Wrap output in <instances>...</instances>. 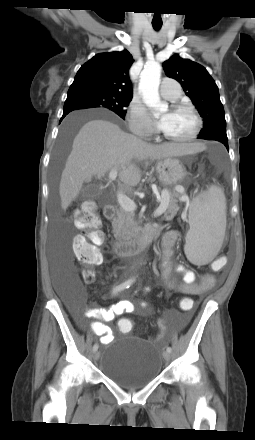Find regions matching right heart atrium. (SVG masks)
Returning a JSON list of instances; mask_svg holds the SVG:
<instances>
[{"label": "right heart atrium", "mask_w": 255, "mask_h": 440, "mask_svg": "<svg viewBox=\"0 0 255 440\" xmlns=\"http://www.w3.org/2000/svg\"><path fill=\"white\" fill-rule=\"evenodd\" d=\"M128 124L134 134L147 136L153 131L145 108L138 100H133L129 106Z\"/></svg>", "instance_id": "obj_1"}]
</instances>
